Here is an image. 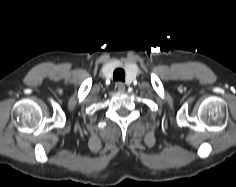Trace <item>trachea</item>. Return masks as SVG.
<instances>
[{"label":"trachea","mask_w":236,"mask_h":187,"mask_svg":"<svg viewBox=\"0 0 236 187\" xmlns=\"http://www.w3.org/2000/svg\"><path fill=\"white\" fill-rule=\"evenodd\" d=\"M114 81H124L125 80V72L122 69H116L113 73Z\"/></svg>","instance_id":"obj_1"}]
</instances>
